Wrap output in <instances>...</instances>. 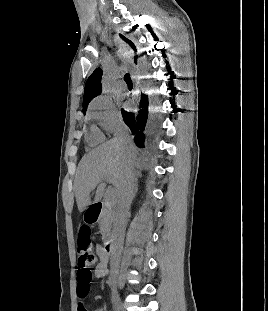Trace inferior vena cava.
<instances>
[{"label":"inferior vena cava","mask_w":268,"mask_h":311,"mask_svg":"<svg viewBox=\"0 0 268 311\" xmlns=\"http://www.w3.org/2000/svg\"><path fill=\"white\" fill-rule=\"evenodd\" d=\"M119 138L125 142L129 141V137L125 134H120ZM135 194L134 177L129 172L124 180L122 187L117 195L116 208L114 212V227H113V251L110 257L111 268L117 270L120 264V248L124 241L127 216L130 209V204ZM115 274L112 276V284H115Z\"/></svg>","instance_id":"1"}]
</instances>
